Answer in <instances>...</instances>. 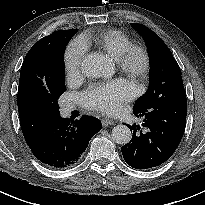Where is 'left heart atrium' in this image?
Wrapping results in <instances>:
<instances>
[{
  "label": "left heart atrium",
  "mask_w": 205,
  "mask_h": 205,
  "mask_svg": "<svg viewBox=\"0 0 205 205\" xmlns=\"http://www.w3.org/2000/svg\"><path fill=\"white\" fill-rule=\"evenodd\" d=\"M136 93L135 85L125 79L91 85L81 94L85 108L105 113H116Z\"/></svg>",
  "instance_id": "1"
}]
</instances>
